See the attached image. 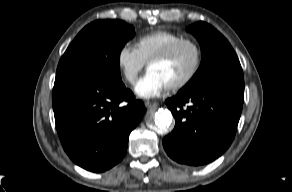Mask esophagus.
<instances>
[{"label":"esophagus","mask_w":292,"mask_h":192,"mask_svg":"<svg viewBox=\"0 0 292 192\" xmlns=\"http://www.w3.org/2000/svg\"><path fill=\"white\" fill-rule=\"evenodd\" d=\"M145 106L148 109H156L158 107V103L156 102H150V101H146L145 102Z\"/></svg>","instance_id":"obj_1"}]
</instances>
